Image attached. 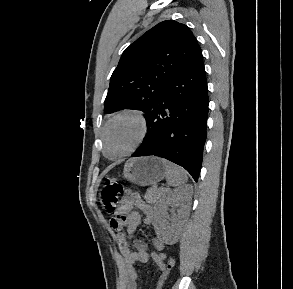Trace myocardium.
Returning <instances> with one entry per match:
<instances>
[{
  "label": "myocardium",
  "instance_id": "obj_1",
  "mask_svg": "<svg viewBox=\"0 0 293 289\" xmlns=\"http://www.w3.org/2000/svg\"><path fill=\"white\" fill-rule=\"evenodd\" d=\"M125 117L132 118L133 120L137 122L138 128H139L137 139L135 143L123 154L119 156H115V157L109 156L107 153V147H106L108 130L113 122H115L116 120L120 118H125ZM148 132H149V120L143 110L139 108L124 109L116 113L115 115H113L104 126V129L102 132L103 153L108 159H111V160H118V159L127 157L133 152H135L142 145V143L144 142V140L146 139L148 135Z\"/></svg>",
  "mask_w": 293,
  "mask_h": 289
}]
</instances>
